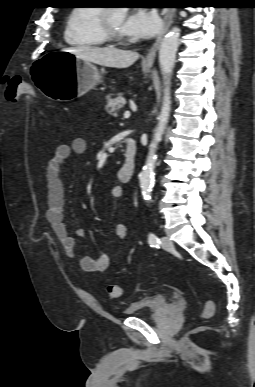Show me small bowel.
Returning a JSON list of instances; mask_svg holds the SVG:
<instances>
[{
	"label": "small bowel",
	"instance_id": "1",
	"mask_svg": "<svg viewBox=\"0 0 255 387\" xmlns=\"http://www.w3.org/2000/svg\"><path fill=\"white\" fill-rule=\"evenodd\" d=\"M87 143L84 138H75L70 144H61L55 149L52 158L48 161L45 171L47 183V211L46 218L53 234L58 239L65 254L77 259L81 268L86 272H103L110 264L108 254H100L97 257L78 255L76 253V238L84 234L83 229H71L65 221V190L61 174L68 159L73 155L85 153ZM110 195L114 199L123 197V188L114 185L110 189ZM116 245L123 244L128 237V229L124 224H117L114 228Z\"/></svg>",
	"mask_w": 255,
	"mask_h": 387
}]
</instances>
